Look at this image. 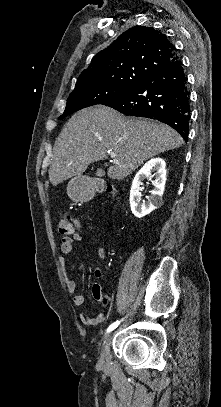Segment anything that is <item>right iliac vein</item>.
<instances>
[{
  "label": "right iliac vein",
  "mask_w": 221,
  "mask_h": 407,
  "mask_svg": "<svg viewBox=\"0 0 221 407\" xmlns=\"http://www.w3.org/2000/svg\"><path fill=\"white\" fill-rule=\"evenodd\" d=\"M111 337H112V334L110 333L102 348L101 357H100V364H102V365L107 364L109 362Z\"/></svg>",
  "instance_id": "obj_1"
}]
</instances>
